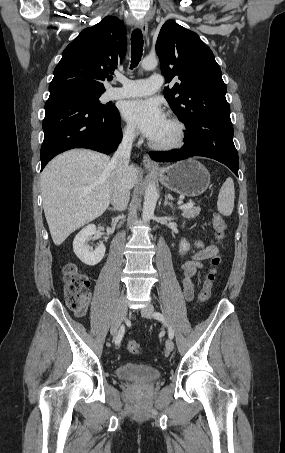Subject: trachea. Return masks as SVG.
Returning a JSON list of instances; mask_svg holds the SVG:
<instances>
[{
    "mask_svg": "<svg viewBox=\"0 0 285 453\" xmlns=\"http://www.w3.org/2000/svg\"><path fill=\"white\" fill-rule=\"evenodd\" d=\"M143 35L140 29H135L131 35V68L136 67L142 57Z\"/></svg>",
    "mask_w": 285,
    "mask_h": 453,
    "instance_id": "obj_1",
    "label": "trachea"
}]
</instances>
